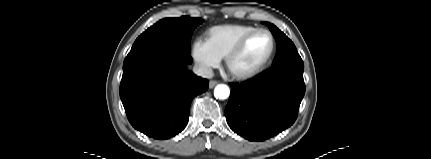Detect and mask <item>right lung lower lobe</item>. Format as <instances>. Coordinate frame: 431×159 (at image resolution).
I'll return each instance as SVG.
<instances>
[{
    "label": "right lung lower lobe",
    "mask_w": 431,
    "mask_h": 159,
    "mask_svg": "<svg viewBox=\"0 0 431 159\" xmlns=\"http://www.w3.org/2000/svg\"><path fill=\"white\" fill-rule=\"evenodd\" d=\"M192 61L189 52L169 43L131 49L123 64L120 98L135 129L169 139L186 127L191 101L209 82L187 70Z\"/></svg>",
    "instance_id": "1"
}]
</instances>
